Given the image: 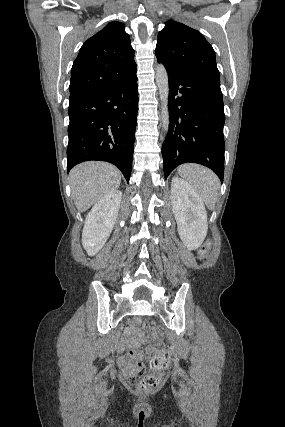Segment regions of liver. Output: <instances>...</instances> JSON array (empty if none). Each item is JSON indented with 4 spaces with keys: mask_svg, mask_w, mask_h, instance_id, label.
Listing matches in <instances>:
<instances>
[{
    "mask_svg": "<svg viewBox=\"0 0 285 427\" xmlns=\"http://www.w3.org/2000/svg\"><path fill=\"white\" fill-rule=\"evenodd\" d=\"M69 178L75 206L84 212L118 189L121 172L109 163L90 161L74 167Z\"/></svg>",
    "mask_w": 285,
    "mask_h": 427,
    "instance_id": "1",
    "label": "liver"
}]
</instances>
